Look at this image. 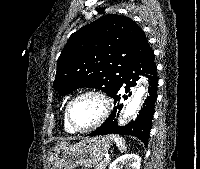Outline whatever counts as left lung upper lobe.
Here are the masks:
<instances>
[{
  "instance_id": "5c2ea615",
  "label": "left lung upper lobe",
  "mask_w": 200,
  "mask_h": 169,
  "mask_svg": "<svg viewBox=\"0 0 200 169\" xmlns=\"http://www.w3.org/2000/svg\"><path fill=\"white\" fill-rule=\"evenodd\" d=\"M150 46L130 18L108 14L73 33L61 52L53 87L61 95L79 87L112 96L128 69Z\"/></svg>"
}]
</instances>
